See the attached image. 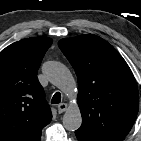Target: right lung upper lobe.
<instances>
[{"mask_svg": "<svg viewBox=\"0 0 141 141\" xmlns=\"http://www.w3.org/2000/svg\"><path fill=\"white\" fill-rule=\"evenodd\" d=\"M51 44V38L31 37L0 52V141H40L50 123L37 71Z\"/></svg>", "mask_w": 141, "mask_h": 141, "instance_id": "right-lung-upper-lobe-1", "label": "right lung upper lobe"}]
</instances>
